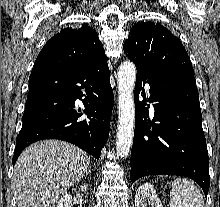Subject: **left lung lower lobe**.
<instances>
[{
	"label": "left lung lower lobe",
	"mask_w": 220,
	"mask_h": 207,
	"mask_svg": "<svg viewBox=\"0 0 220 207\" xmlns=\"http://www.w3.org/2000/svg\"><path fill=\"white\" fill-rule=\"evenodd\" d=\"M145 83L150 85L154 118L150 121ZM135 130L131 151V181L148 175H182L196 181L207 196L209 159L193 75L168 72L152 75L137 68Z\"/></svg>",
	"instance_id": "0a47b994"
}]
</instances>
